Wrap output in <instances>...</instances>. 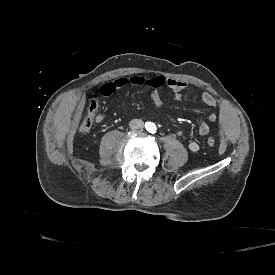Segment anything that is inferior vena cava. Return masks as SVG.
<instances>
[{
    "mask_svg": "<svg viewBox=\"0 0 275 275\" xmlns=\"http://www.w3.org/2000/svg\"><path fill=\"white\" fill-rule=\"evenodd\" d=\"M144 127V122L141 119H132L129 122L130 129H140Z\"/></svg>",
    "mask_w": 275,
    "mask_h": 275,
    "instance_id": "obj_1",
    "label": "inferior vena cava"
}]
</instances>
